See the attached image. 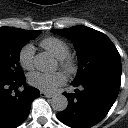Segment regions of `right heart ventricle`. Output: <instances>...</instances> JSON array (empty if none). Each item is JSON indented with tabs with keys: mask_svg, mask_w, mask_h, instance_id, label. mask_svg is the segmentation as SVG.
Returning a JSON list of instances; mask_svg holds the SVG:
<instances>
[{
	"mask_svg": "<svg viewBox=\"0 0 128 128\" xmlns=\"http://www.w3.org/2000/svg\"><path fill=\"white\" fill-rule=\"evenodd\" d=\"M40 45L57 59L69 54L67 43L58 37H47L41 41Z\"/></svg>",
	"mask_w": 128,
	"mask_h": 128,
	"instance_id": "right-heart-ventricle-1",
	"label": "right heart ventricle"
}]
</instances>
